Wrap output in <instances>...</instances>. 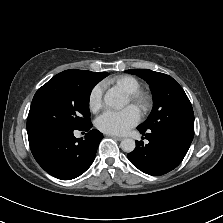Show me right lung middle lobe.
<instances>
[{
	"label": "right lung middle lobe",
	"mask_w": 223,
	"mask_h": 223,
	"mask_svg": "<svg viewBox=\"0 0 223 223\" xmlns=\"http://www.w3.org/2000/svg\"><path fill=\"white\" fill-rule=\"evenodd\" d=\"M99 79L54 76L35 93L27 121L28 138L90 124L89 98Z\"/></svg>",
	"instance_id": "1"
}]
</instances>
